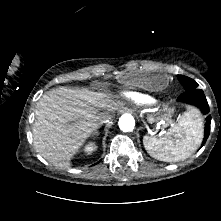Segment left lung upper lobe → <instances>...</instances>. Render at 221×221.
I'll use <instances>...</instances> for the list:
<instances>
[{
	"label": "left lung upper lobe",
	"mask_w": 221,
	"mask_h": 221,
	"mask_svg": "<svg viewBox=\"0 0 221 221\" xmlns=\"http://www.w3.org/2000/svg\"><path fill=\"white\" fill-rule=\"evenodd\" d=\"M181 84L183 85L185 90H193L196 89L198 84L191 78L183 76V75H178L177 76Z\"/></svg>",
	"instance_id": "1"
}]
</instances>
